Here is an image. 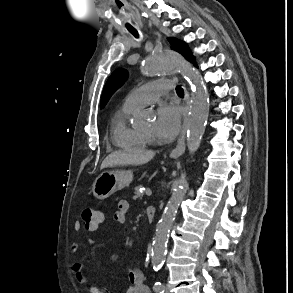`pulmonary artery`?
<instances>
[{"mask_svg":"<svg viewBox=\"0 0 293 293\" xmlns=\"http://www.w3.org/2000/svg\"><path fill=\"white\" fill-rule=\"evenodd\" d=\"M173 80H162L149 82L132 90L125 98L124 106L139 109L145 107L160 96L168 93L174 88Z\"/></svg>","mask_w":293,"mask_h":293,"instance_id":"obj_1","label":"pulmonary artery"}]
</instances>
